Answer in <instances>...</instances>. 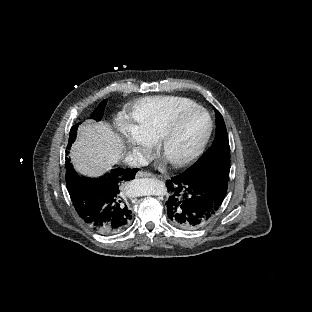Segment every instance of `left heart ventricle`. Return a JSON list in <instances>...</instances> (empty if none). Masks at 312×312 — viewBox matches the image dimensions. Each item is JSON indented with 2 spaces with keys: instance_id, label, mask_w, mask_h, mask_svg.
Segmentation results:
<instances>
[{
  "instance_id": "b2bd125f",
  "label": "left heart ventricle",
  "mask_w": 312,
  "mask_h": 312,
  "mask_svg": "<svg viewBox=\"0 0 312 312\" xmlns=\"http://www.w3.org/2000/svg\"><path fill=\"white\" fill-rule=\"evenodd\" d=\"M195 127L194 121L189 120L186 122L185 127L181 128L179 134L172 137L171 143L168 144L167 149L169 152L174 153L178 149V145L181 149L186 150L190 145L193 144L195 138Z\"/></svg>"
}]
</instances>
